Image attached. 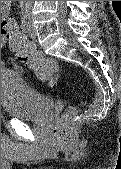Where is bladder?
Returning a JSON list of instances; mask_svg holds the SVG:
<instances>
[{"mask_svg":"<svg viewBox=\"0 0 121 169\" xmlns=\"http://www.w3.org/2000/svg\"><path fill=\"white\" fill-rule=\"evenodd\" d=\"M1 104L7 116L22 121L40 120L53 108V101L47 95L11 70L1 74Z\"/></svg>","mask_w":121,"mask_h":169,"instance_id":"bladder-1","label":"bladder"}]
</instances>
